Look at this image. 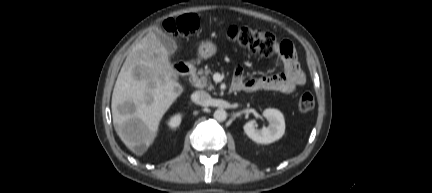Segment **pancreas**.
<instances>
[{"instance_id":"1","label":"pancreas","mask_w":432,"mask_h":193,"mask_svg":"<svg viewBox=\"0 0 432 193\" xmlns=\"http://www.w3.org/2000/svg\"><path fill=\"white\" fill-rule=\"evenodd\" d=\"M211 73L212 71L207 67L205 69H199L192 78L194 86L201 89L207 88L208 90H213L214 86L208 79V75Z\"/></svg>"}]
</instances>
